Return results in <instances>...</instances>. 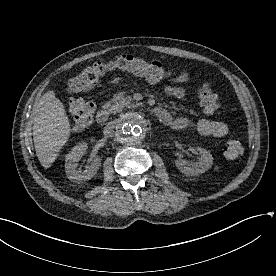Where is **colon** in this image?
<instances>
[{
	"label": "colon",
	"mask_w": 276,
	"mask_h": 276,
	"mask_svg": "<svg viewBox=\"0 0 276 276\" xmlns=\"http://www.w3.org/2000/svg\"><path fill=\"white\" fill-rule=\"evenodd\" d=\"M112 71H125L143 77L150 82H162L169 76L167 68L160 62L148 61L133 55H122L109 61H98L82 70L72 78L67 90L70 94L83 93L93 88L99 80ZM204 110L214 114L218 109V99L211 87L205 83L199 90ZM95 106L91 101L73 97L69 103V112L74 127L85 128L93 121ZM243 146L239 139L231 138L224 146V155L229 159L239 157Z\"/></svg>",
	"instance_id": "5ec220e1"
}]
</instances>
